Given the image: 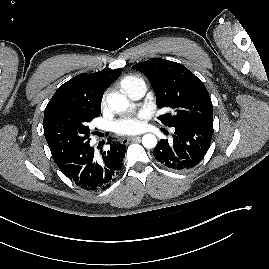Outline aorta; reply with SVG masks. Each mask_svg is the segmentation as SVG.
<instances>
[{"label": "aorta", "instance_id": "aorta-1", "mask_svg": "<svg viewBox=\"0 0 269 269\" xmlns=\"http://www.w3.org/2000/svg\"><path fill=\"white\" fill-rule=\"evenodd\" d=\"M107 102H108V106L116 112H123L127 110L130 106L129 100L121 94L111 95L108 98ZM142 144L147 149L155 148L157 145V138L153 134H150V133L145 134L142 137Z\"/></svg>", "mask_w": 269, "mask_h": 269}]
</instances>
